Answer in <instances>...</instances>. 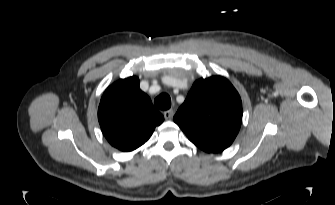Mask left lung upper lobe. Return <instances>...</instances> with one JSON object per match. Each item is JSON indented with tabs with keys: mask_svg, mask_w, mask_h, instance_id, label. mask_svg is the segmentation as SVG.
Listing matches in <instances>:
<instances>
[{
	"mask_svg": "<svg viewBox=\"0 0 335 205\" xmlns=\"http://www.w3.org/2000/svg\"><path fill=\"white\" fill-rule=\"evenodd\" d=\"M242 102L224 77L197 80L173 120L188 139L206 152L231 145L242 123Z\"/></svg>",
	"mask_w": 335,
	"mask_h": 205,
	"instance_id": "1",
	"label": "left lung upper lobe"
}]
</instances>
